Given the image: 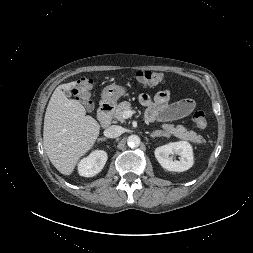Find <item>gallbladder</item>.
I'll list each match as a JSON object with an SVG mask.
<instances>
[{
  "mask_svg": "<svg viewBox=\"0 0 253 253\" xmlns=\"http://www.w3.org/2000/svg\"><path fill=\"white\" fill-rule=\"evenodd\" d=\"M65 94H66V96H68V97L71 96V92H69V91H66Z\"/></svg>",
  "mask_w": 253,
  "mask_h": 253,
  "instance_id": "obj_1",
  "label": "gallbladder"
}]
</instances>
